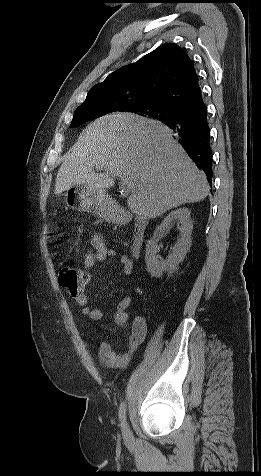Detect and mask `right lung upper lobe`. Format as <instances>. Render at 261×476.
<instances>
[{
    "label": "right lung upper lobe",
    "instance_id": "obj_1",
    "mask_svg": "<svg viewBox=\"0 0 261 476\" xmlns=\"http://www.w3.org/2000/svg\"><path fill=\"white\" fill-rule=\"evenodd\" d=\"M201 97L194 63L181 47L166 43L108 75L89 90L81 105L118 104L130 112L148 105L183 109Z\"/></svg>",
    "mask_w": 261,
    "mask_h": 476
}]
</instances>
